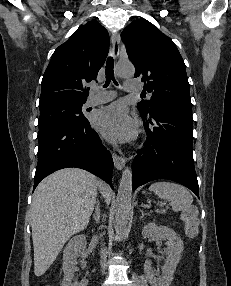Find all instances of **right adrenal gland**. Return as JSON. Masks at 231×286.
Here are the masks:
<instances>
[{"mask_svg":"<svg viewBox=\"0 0 231 286\" xmlns=\"http://www.w3.org/2000/svg\"><path fill=\"white\" fill-rule=\"evenodd\" d=\"M93 218L96 222H99L100 220V204L99 203L96 204L95 214L93 215Z\"/></svg>","mask_w":231,"mask_h":286,"instance_id":"1","label":"right adrenal gland"}]
</instances>
